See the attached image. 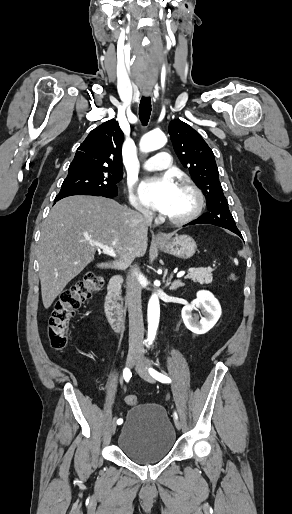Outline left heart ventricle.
Returning a JSON list of instances; mask_svg holds the SVG:
<instances>
[{
    "label": "left heart ventricle",
    "mask_w": 292,
    "mask_h": 514,
    "mask_svg": "<svg viewBox=\"0 0 292 514\" xmlns=\"http://www.w3.org/2000/svg\"><path fill=\"white\" fill-rule=\"evenodd\" d=\"M193 204L194 199L192 194L179 188L176 197L167 213L173 216H183L191 211Z\"/></svg>",
    "instance_id": "left-heart-ventricle-1"
}]
</instances>
